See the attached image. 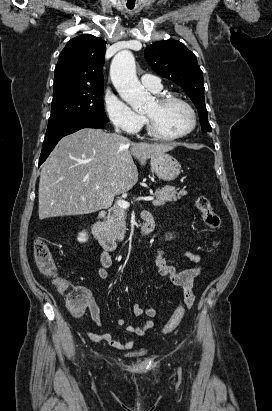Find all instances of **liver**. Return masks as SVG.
I'll use <instances>...</instances> for the list:
<instances>
[{
    "instance_id": "obj_1",
    "label": "liver",
    "mask_w": 272,
    "mask_h": 411,
    "mask_svg": "<svg viewBox=\"0 0 272 411\" xmlns=\"http://www.w3.org/2000/svg\"><path fill=\"white\" fill-rule=\"evenodd\" d=\"M171 150V144L131 142L100 129L84 128L65 136L41 170L39 219L110 207L116 195L129 191L138 181L132 156L143 166L147 159Z\"/></svg>"
}]
</instances>
